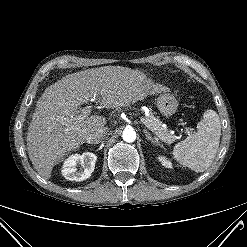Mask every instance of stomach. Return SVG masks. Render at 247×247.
<instances>
[{
    "mask_svg": "<svg viewBox=\"0 0 247 247\" xmlns=\"http://www.w3.org/2000/svg\"><path fill=\"white\" fill-rule=\"evenodd\" d=\"M157 107L163 116L169 117L176 112L178 102L173 95L164 93L158 97Z\"/></svg>",
    "mask_w": 247,
    "mask_h": 247,
    "instance_id": "obj_1",
    "label": "stomach"
}]
</instances>
